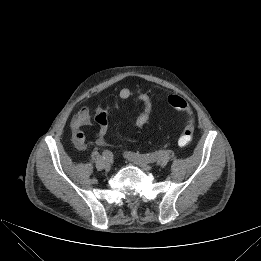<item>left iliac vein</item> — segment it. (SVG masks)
Listing matches in <instances>:
<instances>
[{
  "instance_id": "1",
  "label": "left iliac vein",
  "mask_w": 261,
  "mask_h": 261,
  "mask_svg": "<svg viewBox=\"0 0 261 261\" xmlns=\"http://www.w3.org/2000/svg\"><path fill=\"white\" fill-rule=\"evenodd\" d=\"M126 158L136 164L137 166L141 167L144 170H151L152 166L150 165V163L144 159H142L140 156H136V155H126Z\"/></svg>"
}]
</instances>
